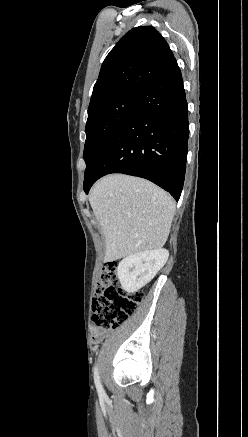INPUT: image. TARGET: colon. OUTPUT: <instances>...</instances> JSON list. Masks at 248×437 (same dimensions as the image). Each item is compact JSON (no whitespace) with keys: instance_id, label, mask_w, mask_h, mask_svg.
<instances>
[{"instance_id":"colon-1","label":"colon","mask_w":248,"mask_h":437,"mask_svg":"<svg viewBox=\"0 0 248 437\" xmlns=\"http://www.w3.org/2000/svg\"><path fill=\"white\" fill-rule=\"evenodd\" d=\"M142 299L141 291L127 293L121 288L116 265L108 263L99 277L92 301L94 327L106 330L120 326L136 312Z\"/></svg>"}]
</instances>
